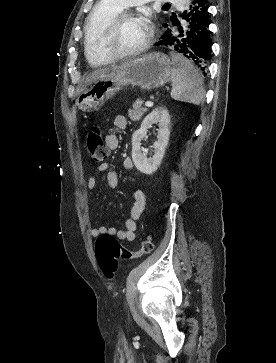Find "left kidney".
<instances>
[{
    "label": "left kidney",
    "mask_w": 276,
    "mask_h": 363,
    "mask_svg": "<svg viewBox=\"0 0 276 363\" xmlns=\"http://www.w3.org/2000/svg\"><path fill=\"white\" fill-rule=\"evenodd\" d=\"M156 124L158 126L157 140L153 144L154 154L147 158V153L141 150V141L146 137L148 129ZM170 135V115L166 108L158 107L147 115L141 127L132 136V160L140 172L151 175L161 164L168 145Z\"/></svg>",
    "instance_id": "obj_1"
}]
</instances>
